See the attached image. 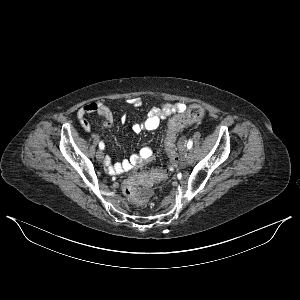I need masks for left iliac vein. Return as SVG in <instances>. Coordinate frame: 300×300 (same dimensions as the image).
<instances>
[{
  "label": "left iliac vein",
  "instance_id": "1",
  "mask_svg": "<svg viewBox=\"0 0 300 300\" xmlns=\"http://www.w3.org/2000/svg\"><path fill=\"white\" fill-rule=\"evenodd\" d=\"M185 158H186L187 164H188V165H191L192 162H193V154H192L190 151H188V152H186V154H185Z\"/></svg>",
  "mask_w": 300,
  "mask_h": 300
}]
</instances>
